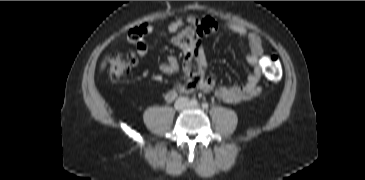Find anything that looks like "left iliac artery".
Returning a JSON list of instances; mask_svg holds the SVG:
<instances>
[{
  "label": "left iliac artery",
  "instance_id": "44dca946",
  "mask_svg": "<svg viewBox=\"0 0 365 180\" xmlns=\"http://www.w3.org/2000/svg\"><path fill=\"white\" fill-rule=\"evenodd\" d=\"M202 108H203V109H208V103H206V102H205V103H203V104H202Z\"/></svg>",
  "mask_w": 365,
  "mask_h": 180
}]
</instances>
